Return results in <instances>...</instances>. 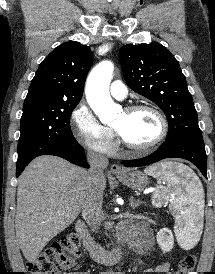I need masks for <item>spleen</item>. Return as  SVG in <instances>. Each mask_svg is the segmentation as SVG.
I'll return each mask as SVG.
<instances>
[{
    "instance_id": "spleen-1",
    "label": "spleen",
    "mask_w": 215,
    "mask_h": 274,
    "mask_svg": "<svg viewBox=\"0 0 215 274\" xmlns=\"http://www.w3.org/2000/svg\"><path fill=\"white\" fill-rule=\"evenodd\" d=\"M167 186H157L152 203L160 207L169 202V210L175 218L177 240L191 247L201 234L204 215V190L198 177L182 163L164 162L144 171Z\"/></svg>"
}]
</instances>
